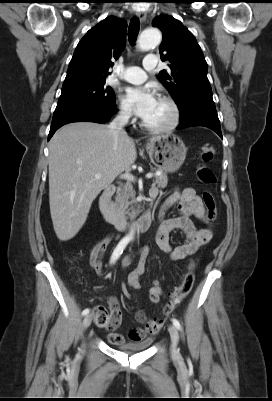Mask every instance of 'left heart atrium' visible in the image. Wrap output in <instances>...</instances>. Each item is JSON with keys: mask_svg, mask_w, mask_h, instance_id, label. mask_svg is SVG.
Wrapping results in <instances>:
<instances>
[{"mask_svg": "<svg viewBox=\"0 0 272 401\" xmlns=\"http://www.w3.org/2000/svg\"><path fill=\"white\" fill-rule=\"evenodd\" d=\"M122 100L136 115L144 119L153 108L157 97L153 88L147 85L126 88Z\"/></svg>", "mask_w": 272, "mask_h": 401, "instance_id": "1", "label": "left heart atrium"}]
</instances>
